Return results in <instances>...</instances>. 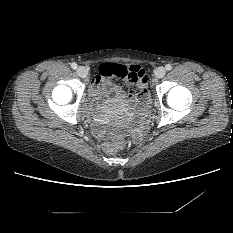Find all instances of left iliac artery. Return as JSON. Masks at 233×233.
Wrapping results in <instances>:
<instances>
[{"mask_svg": "<svg viewBox=\"0 0 233 233\" xmlns=\"http://www.w3.org/2000/svg\"><path fill=\"white\" fill-rule=\"evenodd\" d=\"M165 68H166V70H171V69H172V66H171L170 64H167V65L165 66Z\"/></svg>", "mask_w": 233, "mask_h": 233, "instance_id": "44dca946", "label": "left iliac artery"}]
</instances>
